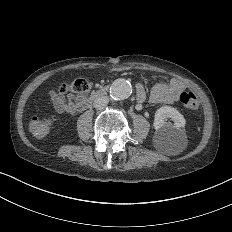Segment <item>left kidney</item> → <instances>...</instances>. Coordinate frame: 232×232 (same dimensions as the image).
Segmentation results:
<instances>
[{
	"mask_svg": "<svg viewBox=\"0 0 232 232\" xmlns=\"http://www.w3.org/2000/svg\"><path fill=\"white\" fill-rule=\"evenodd\" d=\"M171 118L174 122H167ZM185 119L181 113L170 106H163L155 113L154 128L156 130L154 136V143L156 145H168L172 143L179 144L182 138H185Z\"/></svg>",
	"mask_w": 232,
	"mask_h": 232,
	"instance_id": "5707ae66",
	"label": "left kidney"
}]
</instances>
